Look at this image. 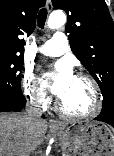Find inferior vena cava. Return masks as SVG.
I'll use <instances>...</instances> for the list:
<instances>
[{
	"instance_id": "1",
	"label": "inferior vena cava",
	"mask_w": 114,
	"mask_h": 156,
	"mask_svg": "<svg viewBox=\"0 0 114 156\" xmlns=\"http://www.w3.org/2000/svg\"><path fill=\"white\" fill-rule=\"evenodd\" d=\"M42 99L38 94L33 95L26 106V116L32 121L41 120L42 116Z\"/></svg>"
}]
</instances>
